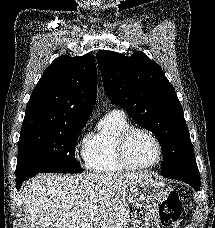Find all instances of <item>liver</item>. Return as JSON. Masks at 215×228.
I'll list each match as a JSON object with an SVG mask.
<instances>
[{"label": "liver", "instance_id": "liver-1", "mask_svg": "<svg viewBox=\"0 0 215 228\" xmlns=\"http://www.w3.org/2000/svg\"><path fill=\"white\" fill-rule=\"evenodd\" d=\"M145 178L142 172L39 174L19 194L31 228H128L130 186Z\"/></svg>", "mask_w": 215, "mask_h": 228}]
</instances>
